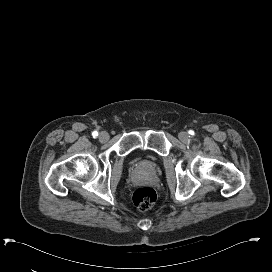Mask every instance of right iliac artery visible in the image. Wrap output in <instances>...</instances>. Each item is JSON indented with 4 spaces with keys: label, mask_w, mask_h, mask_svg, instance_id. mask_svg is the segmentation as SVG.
<instances>
[{
    "label": "right iliac artery",
    "mask_w": 272,
    "mask_h": 272,
    "mask_svg": "<svg viewBox=\"0 0 272 272\" xmlns=\"http://www.w3.org/2000/svg\"><path fill=\"white\" fill-rule=\"evenodd\" d=\"M92 136H93V137H97V136H98V132H97V131H93V132H92Z\"/></svg>",
    "instance_id": "obj_1"
}]
</instances>
